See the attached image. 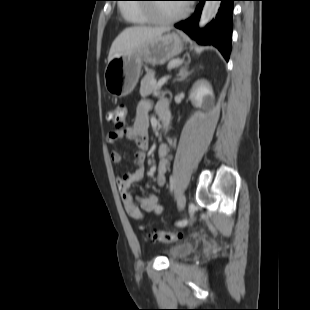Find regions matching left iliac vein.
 <instances>
[{"instance_id":"obj_1","label":"left iliac vein","mask_w":310,"mask_h":310,"mask_svg":"<svg viewBox=\"0 0 310 310\" xmlns=\"http://www.w3.org/2000/svg\"><path fill=\"white\" fill-rule=\"evenodd\" d=\"M185 204H186V197L183 193H181L179 196H178V200H177V206L179 209H183L185 207Z\"/></svg>"}]
</instances>
